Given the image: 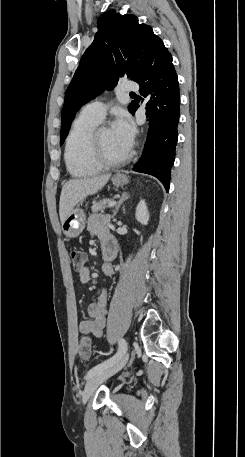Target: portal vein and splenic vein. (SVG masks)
<instances>
[{"label": "portal vein and splenic vein", "mask_w": 245, "mask_h": 457, "mask_svg": "<svg viewBox=\"0 0 245 457\" xmlns=\"http://www.w3.org/2000/svg\"><path fill=\"white\" fill-rule=\"evenodd\" d=\"M116 204V200H111V202H108V206H114Z\"/></svg>", "instance_id": "portal-vein-and-splenic-vein-1"}]
</instances>
